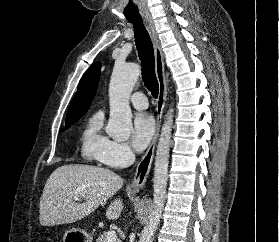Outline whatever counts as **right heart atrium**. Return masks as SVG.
<instances>
[{
	"instance_id": "right-heart-atrium-1",
	"label": "right heart atrium",
	"mask_w": 279,
	"mask_h": 242,
	"mask_svg": "<svg viewBox=\"0 0 279 242\" xmlns=\"http://www.w3.org/2000/svg\"><path fill=\"white\" fill-rule=\"evenodd\" d=\"M133 157V152L127 143L111 141L99 161L111 168H121L130 164Z\"/></svg>"
}]
</instances>
